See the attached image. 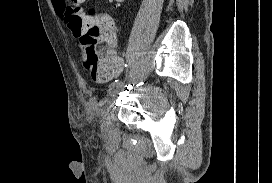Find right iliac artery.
I'll use <instances>...</instances> for the list:
<instances>
[{
  "label": "right iliac artery",
  "mask_w": 272,
  "mask_h": 183,
  "mask_svg": "<svg viewBox=\"0 0 272 183\" xmlns=\"http://www.w3.org/2000/svg\"><path fill=\"white\" fill-rule=\"evenodd\" d=\"M123 83L120 80H115L114 82H112L109 86V90H114L115 88H118L119 86H121Z\"/></svg>",
  "instance_id": "right-iliac-artery-1"
}]
</instances>
